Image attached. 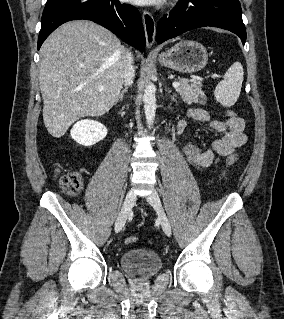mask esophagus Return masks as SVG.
<instances>
[{"label":"esophagus","instance_id":"1","mask_svg":"<svg viewBox=\"0 0 284 319\" xmlns=\"http://www.w3.org/2000/svg\"><path fill=\"white\" fill-rule=\"evenodd\" d=\"M143 25L146 37V47L150 49L155 41L156 23L152 14L146 10L142 12Z\"/></svg>","mask_w":284,"mask_h":319}]
</instances>
